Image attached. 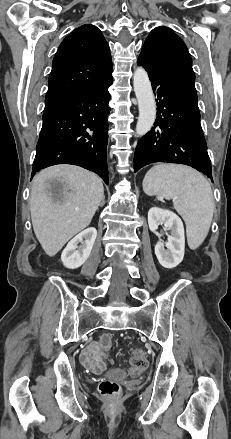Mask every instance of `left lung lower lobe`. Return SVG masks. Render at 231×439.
Masks as SVG:
<instances>
[{
    "label": "left lung lower lobe",
    "instance_id": "obj_1",
    "mask_svg": "<svg viewBox=\"0 0 231 439\" xmlns=\"http://www.w3.org/2000/svg\"><path fill=\"white\" fill-rule=\"evenodd\" d=\"M137 63L148 72L157 96V119L151 131L138 142L134 171L155 162L179 163L195 168L212 180L197 96L148 56L140 54Z\"/></svg>",
    "mask_w": 231,
    "mask_h": 439
}]
</instances>
